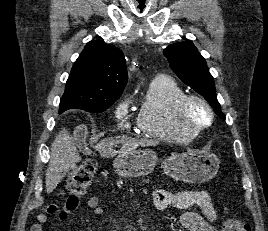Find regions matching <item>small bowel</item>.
<instances>
[{"label": "small bowel", "mask_w": 268, "mask_h": 231, "mask_svg": "<svg viewBox=\"0 0 268 231\" xmlns=\"http://www.w3.org/2000/svg\"><path fill=\"white\" fill-rule=\"evenodd\" d=\"M153 205L157 211H163L167 208L187 209L197 206L200 208V212H186L180 216V227L186 231H217L214 227L217 217L216 210L210 194L206 191L171 192L156 190ZM55 209L56 207L51 205L47 211L51 213ZM87 211L92 212L95 216H100L104 213V207L100 204L98 196L92 195L89 197ZM41 216H43L42 221H40ZM47 219L46 213H40L37 216L38 222L31 226L30 231H43V225Z\"/></svg>", "instance_id": "small-bowel-1"}]
</instances>
